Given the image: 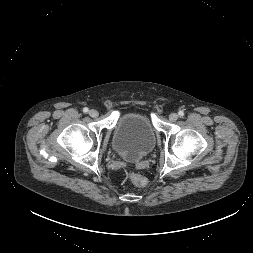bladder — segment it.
<instances>
[{
    "instance_id": "bladder-1",
    "label": "bladder",
    "mask_w": 253,
    "mask_h": 253,
    "mask_svg": "<svg viewBox=\"0 0 253 253\" xmlns=\"http://www.w3.org/2000/svg\"><path fill=\"white\" fill-rule=\"evenodd\" d=\"M156 132L150 118L140 112L120 117L112 137L113 149L124 159L136 161L155 146Z\"/></svg>"
}]
</instances>
